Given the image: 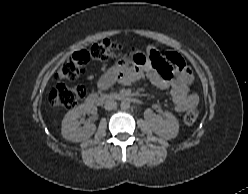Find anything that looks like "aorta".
Instances as JSON below:
<instances>
[{
  "label": "aorta",
  "mask_w": 248,
  "mask_h": 194,
  "mask_svg": "<svg viewBox=\"0 0 248 194\" xmlns=\"http://www.w3.org/2000/svg\"><path fill=\"white\" fill-rule=\"evenodd\" d=\"M120 107L122 110H128L130 108V102L128 100H123Z\"/></svg>",
  "instance_id": "1"
}]
</instances>
